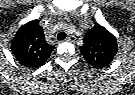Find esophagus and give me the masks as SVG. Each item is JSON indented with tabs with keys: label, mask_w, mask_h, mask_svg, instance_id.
<instances>
[{
	"label": "esophagus",
	"mask_w": 135,
	"mask_h": 95,
	"mask_svg": "<svg viewBox=\"0 0 135 95\" xmlns=\"http://www.w3.org/2000/svg\"><path fill=\"white\" fill-rule=\"evenodd\" d=\"M76 40V37L75 36H68L65 41L67 42H74Z\"/></svg>",
	"instance_id": "obj_1"
}]
</instances>
